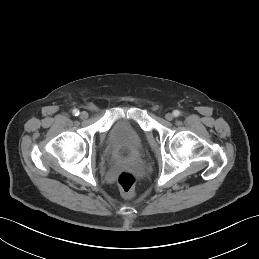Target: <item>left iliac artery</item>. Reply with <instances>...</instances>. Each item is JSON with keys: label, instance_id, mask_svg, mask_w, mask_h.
Masks as SVG:
<instances>
[{"label": "left iliac artery", "instance_id": "left-iliac-artery-1", "mask_svg": "<svg viewBox=\"0 0 259 259\" xmlns=\"http://www.w3.org/2000/svg\"><path fill=\"white\" fill-rule=\"evenodd\" d=\"M173 115H174L175 117H178V116L180 115V111H179V110H174V111H173Z\"/></svg>", "mask_w": 259, "mask_h": 259}]
</instances>
